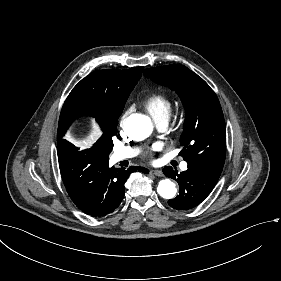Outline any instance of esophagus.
Wrapping results in <instances>:
<instances>
[{
  "label": "esophagus",
  "instance_id": "1",
  "mask_svg": "<svg viewBox=\"0 0 281 281\" xmlns=\"http://www.w3.org/2000/svg\"><path fill=\"white\" fill-rule=\"evenodd\" d=\"M150 174H153V175L159 176V177H163L164 176L162 170H159V169L150 170Z\"/></svg>",
  "mask_w": 281,
  "mask_h": 281
}]
</instances>
